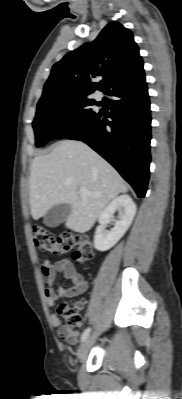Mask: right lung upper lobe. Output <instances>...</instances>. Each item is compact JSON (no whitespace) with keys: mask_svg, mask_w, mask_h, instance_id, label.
Instances as JSON below:
<instances>
[{"mask_svg":"<svg viewBox=\"0 0 182 399\" xmlns=\"http://www.w3.org/2000/svg\"><path fill=\"white\" fill-rule=\"evenodd\" d=\"M144 74L139 48L132 32L118 22L109 23L90 43L68 53L54 64L41 100L57 96L89 95L96 89L106 92L113 85ZM96 76L107 77L99 86Z\"/></svg>","mask_w":182,"mask_h":399,"instance_id":"right-lung-upper-lobe-1","label":"right lung upper lobe"}]
</instances>
